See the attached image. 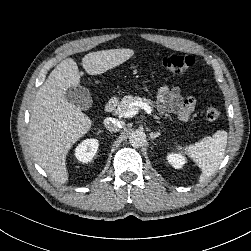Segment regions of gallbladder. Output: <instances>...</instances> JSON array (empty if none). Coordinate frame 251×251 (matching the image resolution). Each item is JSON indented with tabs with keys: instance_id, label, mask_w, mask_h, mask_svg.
<instances>
[{
	"instance_id": "obj_1",
	"label": "gallbladder",
	"mask_w": 251,
	"mask_h": 251,
	"mask_svg": "<svg viewBox=\"0 0 251 251\" xmlns=\"http://www.w3.org/2000/svg\"><path fill=\"white\" fill-rule=\"evenodd\" d=\"M66 100L77 107L87 110L92 106V98L87 89L81 86H71L64 94Z\"/></svg>"
}]
</instances>
